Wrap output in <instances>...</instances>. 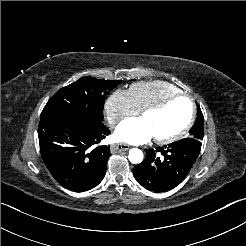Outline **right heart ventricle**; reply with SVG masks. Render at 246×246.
<instances>
[{
    "mask_svg": "<svg viewBox=\"0 0 246 246\" xmlns=\"http://www.w3.org/2000/svg\"><path fill=\"white\" fill-rule=\"evenodd\" d=\"M133 106L136 112H141L144 108L157 104L164 99L180 93L174 85L163 81L138 82L129 87Z\"/></svg>",
    "mask_w": 246,
    "mask_h": 246,
    "instance_id": "1",
    "label": "right heart ventricle"
}]
</instances>
